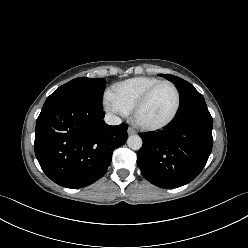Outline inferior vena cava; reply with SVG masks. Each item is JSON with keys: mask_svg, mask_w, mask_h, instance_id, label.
I'll list each match as a JSON object with an SVG mask.
<instances>
[{"mask_svg": "<svg viewBox=\"0 0 248 248\" xmlns=\"http://www.w3.org/2000/svg\"><path fill=\"white\" fill-rule=\"evenodd\" d=\"M104 121L108 124V125H119L121 124V119L120 117L114 115V114H106Z\"/></svg>", "mask_w": 248, "mask_h": 248, "instance_id": "1", "label": "inferior vena cava"}]
</instances>
